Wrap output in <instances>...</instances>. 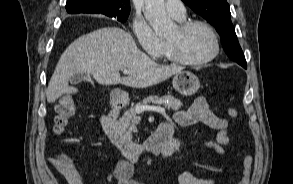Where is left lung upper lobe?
Masks as SVG:
<instances>
[{"instance_id":"5c2ea615","label":"left lung upper lobe","mask_w":293,"mask_h":184,"mask_svg":"<svg viewBox=\"0 0 293 184\" xmlns=\"http://www.w3.org/2000/svg\"><path fill=\"white\" fill-rule=\"evenodd\" d=\"M197 14L204 17L217 30L227 55L238 64L246 63L231 22L229 4L226 0H182Z\"/></svg>"}]
</instances>
